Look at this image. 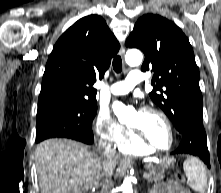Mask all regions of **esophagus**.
Here are the masks:
<instances>
[{
    "label": "esophagus",
    "instance_id": "esophagus-1",
    "mask_svg": "<svg viewBox=\"0 0 221 193\" xmlns=\"http://www.w3.org/2000/svg\"><path fill=\"white\" fill-rule=\"evenodd\" d=\"M119 54L123 57L124 54H125V48L122 46L120 51H119Z\"/></svg>",
    "mask_w": 221,
    "mask_h": 193
}]
</instances>
